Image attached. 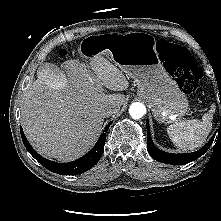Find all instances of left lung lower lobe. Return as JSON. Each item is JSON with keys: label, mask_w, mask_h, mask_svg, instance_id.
I'll list each match as a JSON object with an SVG mask.
<instances>
[{"label": "left lung lower lobe", "mask_w": 221, "mask_h": 221, "mask_svg": "<svg viewBox=\"0 0 221 221\" xmlns=\"http://www.w3.org/2000/svg\"><path fill=\"white\" fill-rule=\"evenodd\" d=\"M147 126V149L149 154L154 158L155 160L166 163V164H172V165H182L186 163H190L196 159H198L200 156H202L211 146L215 135L212 137V139L200 150L193 152V153H187V154H172V153H166L161 150H159L152 142L151 133L149 130V122L146 121ZM221 131V118H220V127L219 132Z\"/></svg>", "instance_id": "1"}]
</instances>
